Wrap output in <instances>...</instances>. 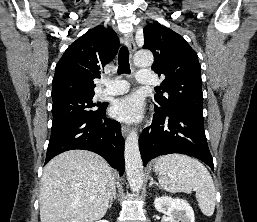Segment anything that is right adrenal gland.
Here are the masks:
<instances>
[{"mask_svg":"<svg viewBox=\"0 0 257 222\" xmlns=\"http://www.w3.org/2000/svg\"><path fill=\"white\" fill-rule=\"evenodd\" d=\"M113 199H116V187H114V190H113L112 195L110 197V202H109V206H108L109 209L112 206Z\"/></svg>","mask_w":257,"mask_h":222,"instance_id":"1","label":"right adrenal gland"}]
</instances>
